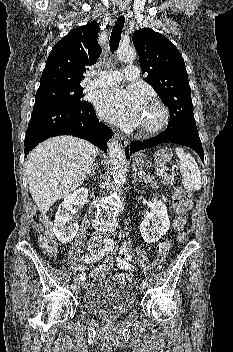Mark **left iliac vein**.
I'll use <instances>...</instances> for the list:
<instances>
[{
  "mask_svg": "<svg viewBox=\"0 0 233 352\" xmlns=\"http://www.w3.org/2000/svg\"><path fill=\"white\" fill-rule=\"evenodd\" d=\"M139 290H140V292L144 293L145 290H146V287L142 285V286L139 288Z\"/></svg>",
  "mask_w": 233,
  "mask_h": 352,
  "instance_id": "left-iliac-vein-1",
  "label": "left iliac vein"
}]
</instances>
